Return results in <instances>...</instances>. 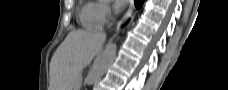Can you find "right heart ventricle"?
Instances as JSON below:
<instances>
[{
	"label": "right heart ventricle",
	"mask_w": 228,
	"mask_h": 90,
	"mask_svg": "<svg viewBox=\"0 0 228 90\" xmlns=\"http://www.w3.org/2000/svg\"><path fill=\"white\" fill-rule=\"evenodd\" d=\"M80 20L83 26L87 28H95L100 26L95 18V6L93 4H85L80 11Z\"/></svg>",
	"instance_id": "right-heart-ventricle-1"
}]
</instances>
